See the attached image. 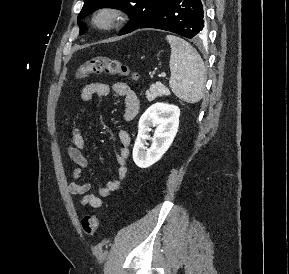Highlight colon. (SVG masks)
I'll return each mask as SVG.
<instances>
[{"instance_id":"1","label":"colon","mask_w":289,"mask_h":274,"mask_svg":"<svg viewBox=\"0 0 289 274\" xmlns=\"http://www.w3.org/2000/svg\"><path fill=\"white\" fill-rule=\"evenodd\" d=\"M106 73L109 75L130 77L132 79L137 78V74L132 72L128 66L121 63L119 60L107 57V56H96L90 58L85 63L81 64L76 73V79H84L91 74ZM81 226L84 233L88 236H92L96 233L99 221L95 215H85L81 219Z\"/></svg>"}]
</instances>
